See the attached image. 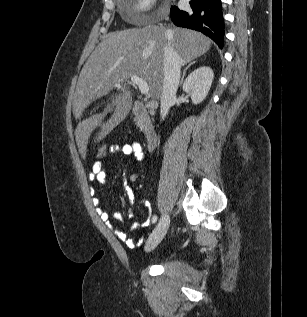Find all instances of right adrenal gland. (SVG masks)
I'll use <instances>...</instances> for the list:
<instances>
[{
  "label": "right adrenal gland",
  "mask_w": 307,
  "mask_h": 317,
  "mask_svg": "<svg viewBox=\"0 0 307 317\" xmlns=\"http://www.w3.org/2000/svg\"><path fill=\"white\" fill-rule=\"evenodd\" d=\"M196 63V61H191L187 66H186V68L184 69V71H183V75H182V77H181V81H180V85L183 83V81H184V77H185V74H186V71L188 70V68L190 67V66H192L193 64H195Z\"/></svg>",
  "instance_id": "1"
}]
</instances>
